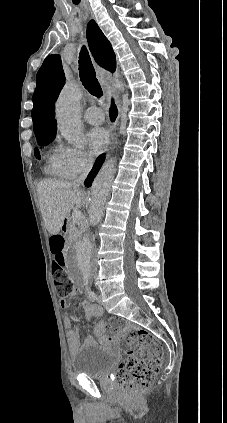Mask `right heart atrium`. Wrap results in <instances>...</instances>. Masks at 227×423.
Instances as JSON below:
<instances>
[{
	"label": "right heart atrium",
	"mask_w": 227,
	"mask_h": 423,
	"mask_svg": "<svg viewBox=\"0 0 227 423\" xmlns=\"http://www.w3.org/2000/svg\"><path fill=\"white\" fill-rule=\"evenodd\" d=\"M57 154L60 173L67 179H73L78 175L88 173L94 164L93 155L80 146H69L60 143Z\"/></svg>",
	"instance_id": "obj_1"
}]
</instances>
